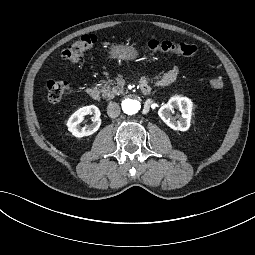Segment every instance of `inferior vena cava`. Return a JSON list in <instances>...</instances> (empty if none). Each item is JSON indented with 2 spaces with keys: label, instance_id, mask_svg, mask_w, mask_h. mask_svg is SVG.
Instances as JSON below:
<instances>
[{
  "label": "inferior vena cava",
  "instance_id": "obj_1",
  "mask_svg": "<svg viewBox=\"0 0 255 255\" xmlns=\"http://www.w3.org/2000/svg\"><path fill=\"white\" fill-rule=\"evenodd\" d=\"M107 114L111 118H115L120 114V106L116 102H110L107 106Z\"/></svg>",
  "mask_w": 255,
  "mask_h": 255
}]
</instances>
